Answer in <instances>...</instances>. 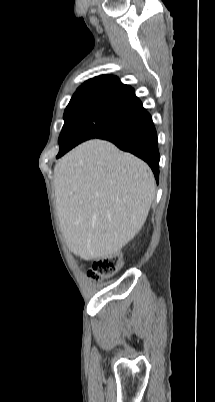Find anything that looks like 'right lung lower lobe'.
<instances>
[{"label":"right lung lower lobe","mask_w":215,"mask_h":402,"mask_svg":"<svg viewBox=\"0 0 215 402\" xmlns=\"http://www.w3.org/2000/svg\"><path fill=\"white\" fill-rule=\"evenodd\" d=\"M105 140L147 162L158 182L160 155L157 133L151 115L145 109L123 130Z\"/></svg>","instance_id":"right-lung-lower-lobe-1"}]
</instances>
